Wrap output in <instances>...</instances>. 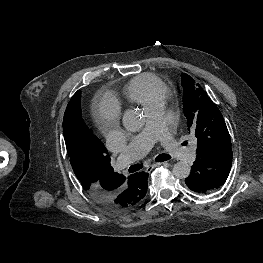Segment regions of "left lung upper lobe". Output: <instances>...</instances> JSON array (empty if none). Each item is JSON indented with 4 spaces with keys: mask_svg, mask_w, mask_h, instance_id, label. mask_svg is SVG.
Listing matches in <instances>:
<instances>
[{
    "mask_svg": "<svg viewBox=\"0 0 263 263\" xmlns=\"http://www.w3.org/2000/svg\"><path fill=\"white\" fill-rule=\"evenodd\" d=\"M181 89L188 130L193 131L197 138V155L221 147H231V138L223 116L201 86L184 73L181 75Z\"/></svg>",
    "mask_w": 263,
    "mask_h": 263,
    "instance_id": "left-lung-upper-lobe-1",
    "label": "left lung upper lobe"
}]
</instances>
